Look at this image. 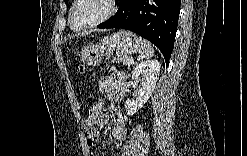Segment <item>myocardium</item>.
I'll list each match as a JSON object with an SVG mask.
<instances>
[{
	"label": "myocardium",
	"instance_id": "myocardium-1",
	"mask_svg": "<svg viewBox=\"0 0 247 156\" xmlns=\"http://www.w3.org/2000/svg\"><path fill=\"white\" fill-rule=\"evenodd\" d=\"M82 1H84V0H77V1H75L73 3L72 8H71L70 13H69V23H70V26L74 30H85V29H89V28L95 27V26L103 23L107 19H109L111 16H113L114 13H115V11H116V2L114 0H103L107 4V7H108L107 12L103 16H101L100 18H98L97 20H95V21H93L91 23H88V24L79 26V25H76L74 23L73 16H74V12H75L76 7Z\"/></svg>",
	"mask_w": 247,
	"mask_h": 156
}]
</instances>
